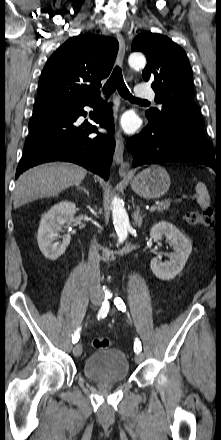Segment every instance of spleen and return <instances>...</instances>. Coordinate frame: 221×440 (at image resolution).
Returning <instances> with one entry per match:
<instances>
[{
	"instance_id": "3e777b00",
	"label": "spleen",
	"mask_w": 221,
	"mask_h": 440,
	"mask_svg": "<svg viewBox=\"0 0 221 440\" xmlns=\"http://www.w3.org/2000/svg\"><path fill=\"white\" fill-rule=\"evenodd\" d=\"M197 203L202 209H206L210 205V196L204 183L199 182L196 186Z\"/></svg>"
}]
</instances>
